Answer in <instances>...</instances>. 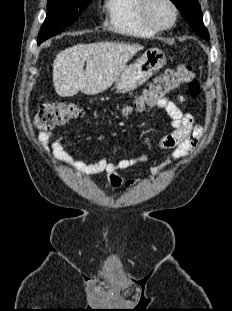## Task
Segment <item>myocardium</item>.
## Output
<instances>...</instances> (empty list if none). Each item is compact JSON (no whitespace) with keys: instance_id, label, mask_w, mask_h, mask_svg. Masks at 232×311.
Listing matches in <instances>:
<instances>
[{"instance_id":"myocardium-1","label":"myocardium","mask_w":232,"mask_h":311,"mask_svg":"<svg viewBox=\"0 0 232 311\" xmlns=\"http://www.w3.org/2000/svg\"><path fill=\"white\" fill-rule=\"evenodd\" d=\"M164 1L170 6V8L172 9V13H173V18H172L171 23L165 26L155 23L149 16V5L151 4V2H153V0H141V4L139 8L140 16L143 22L147 26H149L150 28L156 31H166V30L173 28L178 19V8L175 5V3L172 0H164Z\"/></svg>"}]
</instances>
